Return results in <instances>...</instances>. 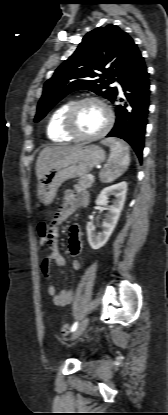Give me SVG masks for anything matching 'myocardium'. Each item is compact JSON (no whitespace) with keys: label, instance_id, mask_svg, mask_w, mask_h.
<instances>
[{"label":"myocardium","instance_id":"f54148a6","mask_svg":"<svg viewBox=\"0 0 168 415\" xmlns=\"http://www.w3.org/2000/svg\"><path fill=\"white\" fill-rule=\"evenodd\" d=\"M86 103H97L99 104L106 112L107 120L104 127L96 134L93 135H82L80 134L74 125V118L77 110ZM113 125V112L111 108L101 99L97 97H85L73 102L65 112L63 118V129L67 135L72 139L79 141H94L104 137Z\"/></svg>","mask_w":168,"mask_h":415}]
</instances>
